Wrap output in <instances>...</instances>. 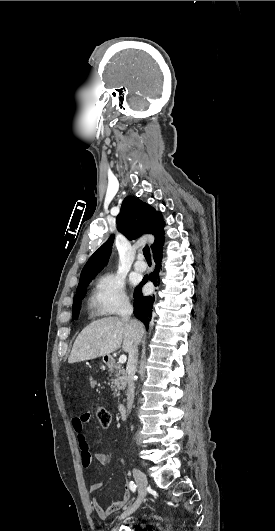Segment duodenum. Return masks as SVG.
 Listing matches in <instances>:
<instances>
[{"label":"duodenum","mask_w":275,"mask_h":531,"mask_svg":"<svg viewBox=\"0 0 275 531\" xmlns=\"http://www.w3.org/2000/svg\"><path fill=\"white\" fill-rule=\"evenodd\" d=\"M105 362L111 367H113L115 365V360H114L113 356H111V355L105 356ZM118 411H119L120 417L125 418L126 414H127L126 404L125 403H121L118 406Z\"/></svg>","instance_id":"duodenum-1"}]
</instances>
